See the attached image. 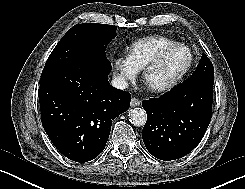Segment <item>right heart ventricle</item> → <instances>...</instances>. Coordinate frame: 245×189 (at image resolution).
<instances>
[{"mask_svg": "<svg viewBox=\"0 0 245 189\" xmlns=\"http://www.w3.org/2000/svg\"><path fill=\"white\" fill-rule=\"evenodd\" d=\"M176 43L164 35H154L133 41L126 47L127 58L141 70L165 46Z\"/></svg>", "mask_w": 245, "mask_h": 189, "instance_id": "right-heart-ventricle-1", "label": "right heart ventricle"}]
</instances>
